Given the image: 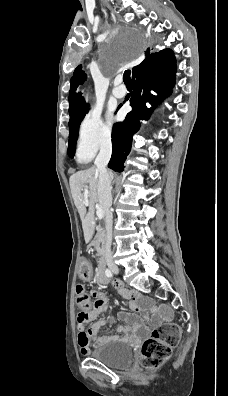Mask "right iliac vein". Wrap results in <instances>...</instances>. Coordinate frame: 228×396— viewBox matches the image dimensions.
Listing matches in <instances>:
<instances>
[{"instance_id": "right-iliac-vein-1", "label": "right iliac vein", "mask_w": 228, "mask_h": 396, "mask_svg": "<svg viewBox=\"0 0 228 396\" xmlns=\"http://www.w3.org/2000/svg\"><path fill=\"white\" fill-rule=\"evenodd\" d=\"M108 267L110 268V270L115 273L118 274L119 273V268L118 266L113 262V261H109L108 262Z\"/></svg>"}]
</instances>
